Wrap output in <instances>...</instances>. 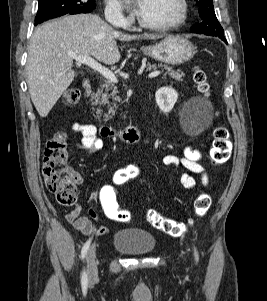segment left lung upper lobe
I'll use <instances>...</instances> for the list:
<instances>
[{
    "instance_id": "5c2ea615",
    "label": "left lung upper lobe",
    "mask_w": 267,
    "mask_h": 301,
    "mask_svg": "<svg viewBox=\"0 0 267 301\" xmlns=\"http://www.w3.org/2000/svg\"><path fill=\"white\" fill-rule=\"evenodd\" d=\"M198 6L200 20L195 24L191 31L193 33L211 36L224 35L223 28L218 22L212 1L213 0H194Z\"/></svg>"
}]
</instances>
